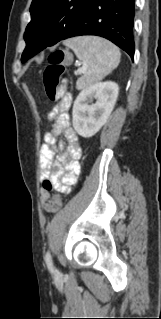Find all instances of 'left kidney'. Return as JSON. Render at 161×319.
<instances>
[{
	"instance_id": "5707ae66",
	"label": "left kidney",
	"mask_w": 161,
	"mask_h": 319,
	"mask_svg": "<svg viewBox=\"0 0 161 319\" xmlns=\"http://www.w3.org/2000/svg\"><path fill=\"white\" fill-rule=\"evenodd\" d=\"M119 87L115 82L96 83L83 90L76 98L72 123L75 131L84 138L95 135L109 118L118 97ZM96 99L89 105L90 99Z\"/></svg>"
}]
</instances>
